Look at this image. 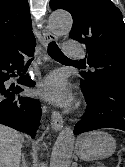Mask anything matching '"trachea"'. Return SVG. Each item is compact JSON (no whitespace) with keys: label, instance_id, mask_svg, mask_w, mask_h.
Returning <instances> with one entry per match:
<instances>
[{"label":"trachea","instance_id":"3493384b","mask_svg":"<svg viewBox=\"0 0 125 167\" xmlns=\"http://www.w3.org/2000/svg\"><path fill=\"white\" fill-rule=\"evenodd\" d=\"M48 54L51 58L57 60V61H63V62H76L79 63V61H74L69 58H67L59 49L56 42L52 41L48 45ZM32 59L27 62V64L31 63Z\"/></svg>","mask_w":125,"mask_h":167}]
</instances>
